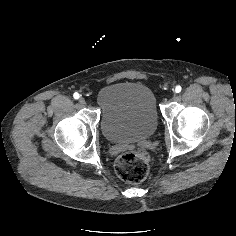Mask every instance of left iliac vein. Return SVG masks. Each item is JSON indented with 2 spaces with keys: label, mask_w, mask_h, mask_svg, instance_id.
<instances>
[{
  "label": "left iliac vein",
  "mask_w": 236,
  "mask_h": 236,
  "mask_svg": "<svg viewBox=\"0 0 236 236\" xmlns=\"http://www.w3.org/2000/svg\"><path fill=\"white\" fill-rule=\"evenodd\" d=\"M176 97H177V94H176V93H173V94H171V96H170V100H171V101H175V100H176Z\"/></svg>",
  "instance_id": "4c4485c4"
}]
</instances>
